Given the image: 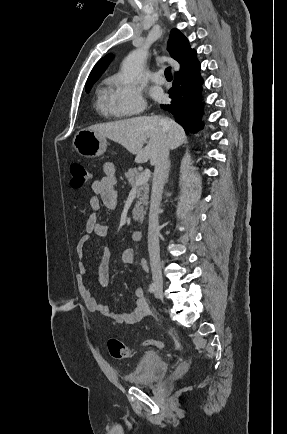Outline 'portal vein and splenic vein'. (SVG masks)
<instances>
[{
	"label": "portal vein and splenic vein",
	"mask_w": 287,
	"mask_h": 434,
	"mask_svg": "<svg viewBox=\"0 0 287 434\" xmlns=\"http://www.w3.org/2000/svg\"><path fill=\"white\" fill-rule=\"evenodd\" d=\"M151 172L149 169H146L143 173H141V175L139 176V178L136 181V187L140 186L144 183H147L149 178H150Z\"/></svg>",
	"instance_id": "18ae733b"
}]
</instances>
